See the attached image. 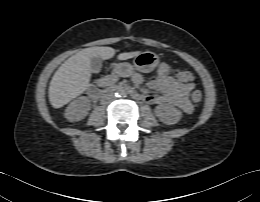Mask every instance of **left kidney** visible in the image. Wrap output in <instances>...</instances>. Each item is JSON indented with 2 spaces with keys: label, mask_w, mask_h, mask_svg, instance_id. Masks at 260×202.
<instances>
[{
  "label": "left kidney",
  "mask_w": 260,
  "mask_h": 202,
  "mask_svg": "<svg viewBox=\"0 0 260 202\" xmlns=\"http://www.w3.org/2000/svg\"><path fill=\"white\" fill-rule=\"evenodd\" d=\"M155 115L161 122L167 125L176 124L182 118V112L169 104H162L157 106L155 108Z\"/></svg>",
  "instance_id": "obj_1"
}]
</instances>
